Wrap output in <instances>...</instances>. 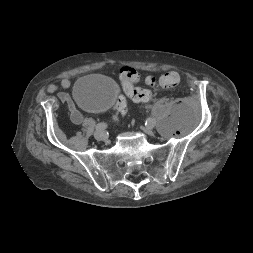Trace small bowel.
<instances>
[{
  "mask_svg": "<svg viewBox=\"0 0 253 253\" xmlns=\"http://www.w3.org/2000/svg\"><path fill=\"white\" fill-rule=\"evenodd\" d=\"M70 85H71V81H70L69 79H67V78H66V79H63V80L61 81V86H62L63 88H68V87H70ZM60 99H61L62 101H67V100H68L67 94L61 93V94H60ZM71 119H72V121H73L75 124H80V123L83 121V116H82V114H81L79 111L73 110L72 113H71Z\"/></svg>",
  "mask_w": 253,
  "mask_h": 253,
  "instance_id": "1",
  "label": "small bowel"
}]
</instances>
